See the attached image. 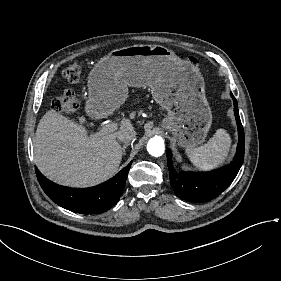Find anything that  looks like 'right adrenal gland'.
I'll return each instance as SVG.
<instances>
[{"label":"right adrenal gland","mask_w":281,"mask_h":281,"mask_svg":"<svg viewBox=\"0 0 281 281\" xmlns=\"http://www.w3.org/2000/svg\"><path fill=\"white\" fill-rule=\"evenodd\" d=\"M128 143L123 144L122 150H121V156L126 155V148L128 147Z\"/></svg>","instance_id":"obj_1"}]
</instances>
